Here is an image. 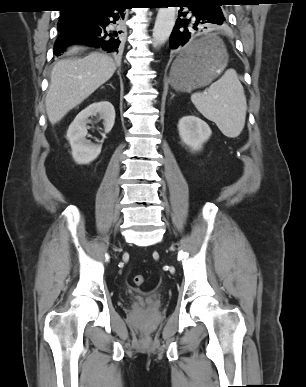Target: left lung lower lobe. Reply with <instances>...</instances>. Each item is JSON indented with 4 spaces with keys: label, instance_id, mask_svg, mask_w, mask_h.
<instances>
[{
    "label": "left lung lower lobe",
    "instance_id": "left-lung-lower-lobe-1",
    "mask_svg": "<svg viewBox=\"0 0 306 387\" xmlns=\"http://www.w3.org/2000/svg\"><path fill=\"white\" fill-rule=\"evenodd\" d=\"M180 8L187 7L186 12L179 11L178 19L171 33L169 45L172 49L184 47L182 53V63H187L204 51V47H193L189 49V40L193 35L192 29L198 30L201 24H226L225 15L217 2H204L198 0H181ZM206 28V27H205Z\"/></svg>",
    "mask_w": 306,
    "mask_h": 387
}]
</instances>
